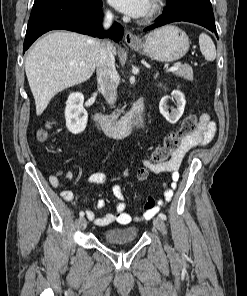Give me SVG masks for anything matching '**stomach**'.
Returning a JSON list of instances; mask_svg holds the SVG:
<instances>
[{
  "label": "stomach",
  "mask_w": 247,
  "mask_h": 296,
  "mask_svg": "<svg viewBox=\"0 0 247 296\" xmlns=\"http://www.w3.org/2000/svg\"><path fill=\"white\" fill-rule=\"evenodd\" d=\"M130 47L148 57L162 62L181 59L189 50V38L184 31L167 25L145 35Z\"/></svg>",
  "instance_id": "1"
}]
</instances>
